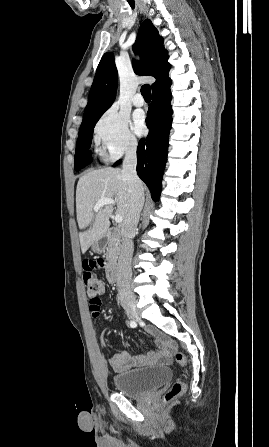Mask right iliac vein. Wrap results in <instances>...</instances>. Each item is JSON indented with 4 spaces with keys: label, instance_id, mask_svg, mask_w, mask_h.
<instances>
[{
    "label": "right iliac vein",
    "instance_id": "63e3f726",
    "mask_svg": "<svg viewBox=\"0 0 269 447\" xmlns=\"http://www.w3.org/2000/svg\"><path fill=\"white\" fill-rule=\"evenodd\" d=\"M122 305L124 307V309L126 310V312L128 313L129 317L133 320H137L138 319V312H137V308H136V300L135 298H131L128 301H123Z\"/></svg>",
    "mask_w": 269,
    "mask_h": 447
}]
</instances>
